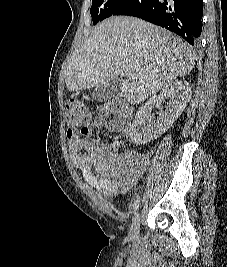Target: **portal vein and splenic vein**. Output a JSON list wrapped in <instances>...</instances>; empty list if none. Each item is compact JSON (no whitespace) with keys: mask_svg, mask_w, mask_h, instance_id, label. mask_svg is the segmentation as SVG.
I'll return each instance as SVG.
<instances>
[{"mask_svg":"<svg viewBox=\"0 0 227 267\" xmlns=\"http://www.w3.org/2000/svg\"><path fill=\"white\" fill-rule=\"evenodd\" d=\"M124 74H125L127 77H132V78L135 77V73H134V71L131 70V69H125Z\"/></svg>","mask_w":227,"mask_h":267,"instance_id":"18ae733b","label":"portal vein and splenic vein"}]
</instances>
